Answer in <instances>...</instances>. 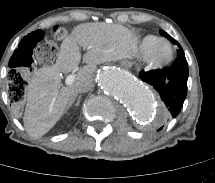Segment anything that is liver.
Returning a JSON list of instances; mask_svg holds the SVG:
<instances>
[{
	"label": "liver",
	"instance_id": "liver-1",
	"mask_svg": "<svg viewBox=\"0 0 215 183\" xmlns=\"http://www.w3.org/2000/svg\"><path fill=\"white\" fill-rule=\"evenodd\" d=\"M79 46L87 52V64L78 70L74 82L62 86L60 72L77 69L81 61ZM137 48V38L126 27L105 22L76 26L61 43L56 63L36 70L26 88L24 127L33 137L45 135L72 105L77 96L76 85L91 80L96 65L128 58Z\"/></svg>",
	"mask_w": 215,
	"mask_h": 183
}]
</instances>
